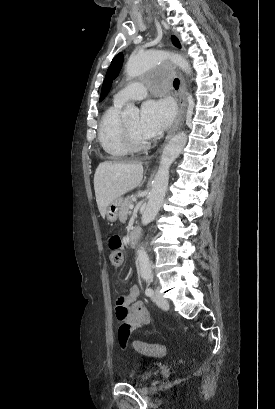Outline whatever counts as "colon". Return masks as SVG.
<instances>
[{
  "instance_id": "5ec220e1",
  "label": "colon",
  "mask_w": 275,
  "mask_h": 409,
  "mask_svg": "<svg viewBox=\"0 0 275 409\" xmlns=\"http://www.w3.org/2000/svg\"><path fill=\"white\" fill-rule=\"evenodd\" d=\"M108 247L111 250V263L115 269H120L123 262L124 253L120 250L122 240L119 234H112L108 238ZM132 347L135 351L141 352L142 358H162L165 356L167 344L164 342H133Z\"/></svg>"
}]
</instances>
